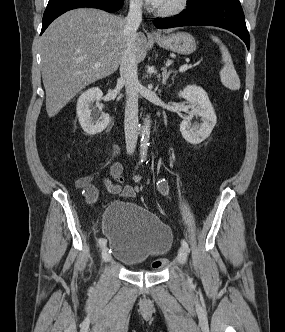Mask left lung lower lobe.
<instances>
[{"mask_svg": "<svg viewBox=\"0 0 285 332\" xmlns=\"http://www.w3.org/2000/svg\"><path fill=\"white\" fill-rule=\"evenodd\" d=\"M157 28L179 26H216L227 29L239 36L250 47V37L247 31L244 13L239 0H206L171 18H156Z\"/></svg>", "mask_w": 285, "mask_h": 332, "instance_id": "obj_1", "label": "left lung lower lobe"}]
</instances>
